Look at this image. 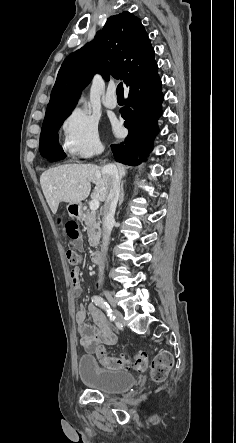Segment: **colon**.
I'll use <instances>...</instances> for the list:
<instances>
[{"label": "colon", "instance_id": "colon-1", "mask_svg": "<svg viewBox=\"0 0 236 443\" xmlns=\"http://www.w3.org/2000/svg\"><path fill=\"white\" fill-rule=\"evenodd\" d=\"M66 233L71 241H77L80 238L79 226L75 221H69L65 225ZM66 258L69 265L75 268L80 263V255L74 249H67ZM71 279L73 283L78 281L75 269L71 271ZM94 353L100 364L109 369H135L137 371H145L148 366V357L145 352H138L132 358H127L124 355L109 356L103 346L97 345ZM172 356L169 353H160L156 355L151 364V376L156 382L165 380L168 371L172 366Z\"/></svg>", "mask_w": 236, "mask_h": 443}]
</instances>
